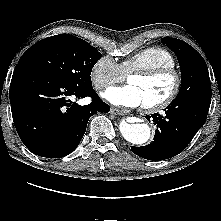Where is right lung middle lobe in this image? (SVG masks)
<instances>
[{
  "mask_svg": "<svg viewBox=\"0 0 221 221\" xmlns=\"http://www.w3.org/2000/svg\"><path fill=\"white\" fill-rule=\"evenodd\" d=\"M101 56L88 42L61 34L31 46L17 65L38 69L71 86L90 88L92 68Z\"/></svg>",
  "mask_w": 221,
  "mask_h": 221,
  "instance_id": "dd1d6c3e",
  "label": "right lung middle lobe"
}]
</instances>
